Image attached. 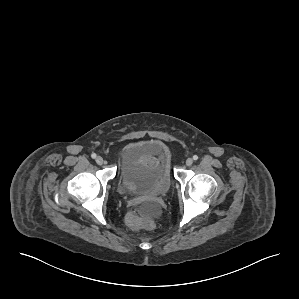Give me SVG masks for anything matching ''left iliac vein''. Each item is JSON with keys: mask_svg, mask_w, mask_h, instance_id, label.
<instances>
[{"mask_svg": "<svg viewBox=\"0 0 299 299\" xmlns=\"http://www.w3.org/2000/svg\"><path fill=\"white\" fill-rule=\"evenodd\" d=\"M192 163H193V159L188 158V159L186 160V165H187V166H191Z\"/></svg>", "mask_w": 299, "mask_h": 299, "instance_id": "1", "label": "left iliac vein"}]
</instances>
